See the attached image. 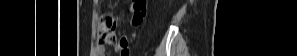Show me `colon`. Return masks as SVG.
<instances>
[{"label":"colon","mask_w":297,"mask_h":56,"mask_svg":"<svg viewBox=\"0 0 297 56\" xmlns=\"http://www.w3.org/2000/svg\"><path fill=\"white\" fill-rule=\"evenodd\" d=\"M134 24H140L146 17L147 1L146 0H134L132 4ZM116 23L112 16H105L99 23V42L103 45L118 44L116 37Z\"/></svg>","instance_id":"1"}]
</instances>
